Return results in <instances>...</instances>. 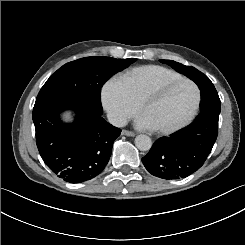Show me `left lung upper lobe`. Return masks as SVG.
I'll use <instances>...</instances> for the list:
<instances>
[{
	"label": "left lung upper lobe",
	"mask_w": 245,
	"mask_h": 245,
	"mask_svg": "<svg viewBox=\"0 0 245 245\" xmlns=\"http://www.w3.org/2000/svg\"><path fill=\"white\" fill-rule=\"evenodd\" d=\"M160 62L172 66L175 70L184 74L185 76L193 80L195 83L208 79L206 75H204L203 73H201L200 71H198L196 68L192 66H185L183 64L171 60H160Z\"/></svg>",
	"instance_id": "5c2ea615"
}]
</instances>
